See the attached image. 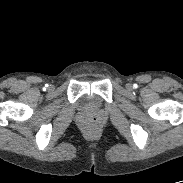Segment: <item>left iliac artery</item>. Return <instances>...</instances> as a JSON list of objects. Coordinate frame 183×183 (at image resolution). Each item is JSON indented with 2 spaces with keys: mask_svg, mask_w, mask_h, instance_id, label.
Wrapping results in <instances>:
<instances>
[{
  "mask_svg": "<svg viewBox=\"0 0 183 183\" xmlns=\"http://www.w3.org/2000/svg\"><path fill=\"white\" fill-rule=\"evenodd\" d=\"M134 87L136 88V87H137V85L135 84V85H134Z\"/></svg>",
  "mask_w": 183,
  "mask_h": 183,
  "instance_id": "left-iliac-artery-1",
  "label": "left iliac artery"
}]
</instances>
